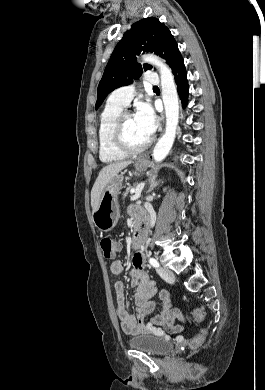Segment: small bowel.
<instances>
[{"label":"small bowel","instance_id":"obj_1","mask_svg":"<svg viewBox=\"0 0 265 390\" xmlns=\"http://www.w3.org/2000/svg\"><path fill=\"white\" fill-rule=\"evenodd\" d=\"M130 213L133 218L146 217V213L140 207H132ZM116 252L121 250V244L115 243ZM145 256L137 252L132 258V268L130 270L131 285L136 288L134 296L136 305V315H132L126 306L125 285L122 281L115 283L116 293V314L122 329L128 334H163V328L171 333L179 332L186 319L182 312L173 308L169 292L161 290L159 293L161 301L160 315L152 314L156 304L154 297L157 287L144 268ZM110 270L114 275L124 273V266L120 260H115L110 265ZM149 316L148 318H146ZM176 321L180 324H175Z\"/></svg>","mask_w":265,"mask_h":390}]
</instances>
